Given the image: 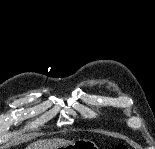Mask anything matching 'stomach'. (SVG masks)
Masks as SVG:
<instances>
[{"instance_id": "1", "label": "stomach", "mask_w": 155, "mask_h": 149, "mask_svg": "<svg viewBox=\"0 0 155 149\" xmlns=\"http://www.w3.org/2000/svg\"><path fill=\"white\" fill-rule=\"evenodd\" d=\"M60 148H67V149H93V148H97V146L95 145V143H93L92 141L89 140H78L75 142H72L64 147H60Z\"/></svg>"}]
</instances>
